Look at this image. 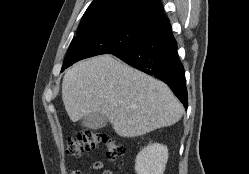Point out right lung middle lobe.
Listing matches in <instances>:
<instances>
[{
  "instance_id": "1",
  "label": "right lung middle lobe",
  "mask_w": 249,
  "mask_h": 174,
  "mask_svg": "<svg viewBox=\"0 0 249 174\" xmlns=\"http://www.w3.org/2000/svg\"><path fill=\"white\" fill-rule=\"evenodd\" d=\"M147 27L145 24L128 22L77 31L61 72L81 59L117 53L133 46L143 38Z\"/></svg>"
}]
</instances>
